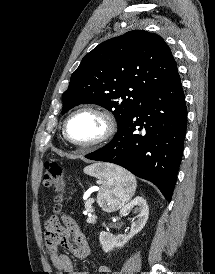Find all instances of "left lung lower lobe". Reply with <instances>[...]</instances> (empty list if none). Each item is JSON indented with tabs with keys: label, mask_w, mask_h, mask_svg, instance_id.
Wrapping results in <instances>:
<instances>
[{
	"label": "left lung lower lobe",
	"mask_w": 215,
	"mask_h": 274,
	"mask_svg": "<svg viewBox=\"0 0 215 274\" xmlns=\"http://www.w3.org/2000/svg\"><path fill=\"white\" fill-rule=\"evenodd\" d=\"M186 127L187 108L177 73L132 111L109 144L85 157L124 167L154 183L170 202Z\"/></svg>",
	"instance_id": "obj_1"
}]
</instances>
